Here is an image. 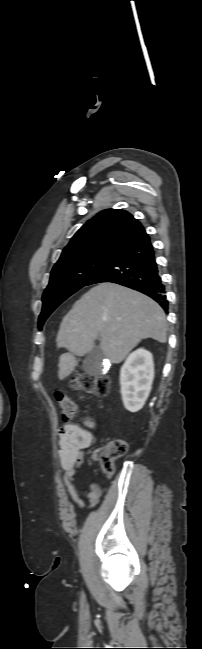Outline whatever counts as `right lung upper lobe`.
<instances>
[{
	"label": "right lung upper lobe",
	"instance_id": "1",
	"mask_svg": "<svg viewBox=\"0 0 202 649\" xmlns=\"http://www.w3.org/2000/svg\"><path fill=\"white\" fill-rule=\"evenodd\" d=\"M147 236L141 223L127 211L106 209L77 231L59 260L91 251L117 254Z\"/></svg>",
	"mask_w": 202,
	"mask_h": 649
}]
</instances>
